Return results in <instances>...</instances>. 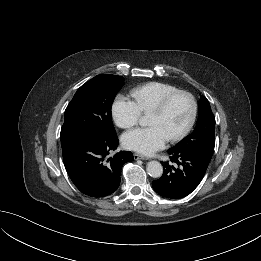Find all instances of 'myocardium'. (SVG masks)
<instances>
[{
    "mask_svg": "<svg viewBox=\"0 0 261 261\" xmlns=\"http://www.w3.org/2000/svg\"><path fill=\"white\" fill-rule=\"evenodd\" d=\"M180 96H184L190 101L191 112H190V116H189L186 126L179 133L169 137V140L172 142L183 139L190 132V130L192 129V127L195 123L197 111H198V104H197V100L194 97V95L192 93H190L188 91H184V90L176 91V92L170 94L169 96H167L157 107H155L150 112V114L151 113L159 114V115L164 114L168 110L170 105L173 103V101Z\"/></svg>",
    "mask_w": 261,
    "mask_h": 261,
    "instance_id": "1",
    "label": "myocardium"
}]
</instances>
